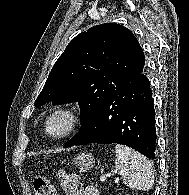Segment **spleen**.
I'll list each match as a JSON object with an SVG mask.
<instances>
[{"mask_svg": "<svg viewBox=\"0 0 189 195\" xmlns=\"http://www.w3.org/2000/svg\"><path fill=\"white\" fill-rule=\"evenodd\" d=\"M115 168L123 182L131 189L149 191L153 187L154 173L150 161L135 150L117 144Z\"/></svg>", "mask_w": 189, "mask_h": 195, "instance_id": "3e777b00", "label": "spleen"}]
</instances>
